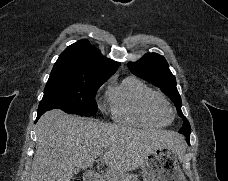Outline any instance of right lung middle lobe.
<instances>
[{"instance_id":"1","label":"right lung middle lobe","mask_w":228,"mask_h":181,"mask_svg":"<svg viewBox=\"0 0 228 181\" xmlns=\"http://www.w3.org/2000/svg\"><path fill=\"white\" fill-rule=\"evenodd\" d=\"M106 80L63 82L48 80L39 104L38 117L51 109H62L69 114L92 116L97 111L95 95Z\"/></svg>"}]
</instances>
